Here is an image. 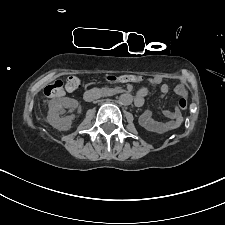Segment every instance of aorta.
<instances>
[{
    "label": "aorta",
    "mask_w": 225,
    "mask_h": 225,
    "mask_svg": "<svg viewBox=\"0 0 225 225\" xmlns=\"http://www.w3.org/2000/svg\"><path fill=\"white\" fill-rule=\"evenodd\" d=\"M118 101L121 105H124V106L130 105L132 103V95L129 93H124L120 95Z\"/></svg>",
    "instance_id": "762f6f07"
}]
</instances>
